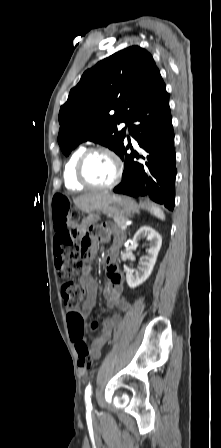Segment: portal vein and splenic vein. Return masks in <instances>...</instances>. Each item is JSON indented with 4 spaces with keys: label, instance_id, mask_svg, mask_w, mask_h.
Segmentation results:
<instances>
[{
    "label": "portal vein and splenic vein",
    "instance_id": "1",
    "mask_svg": "<svg viewBox=\"0 0 221 448\" xmlns=\"http://www.w3.org/2000/svg\"><path fill=\"white\" fill-rule=\"evenodd\" d=\"M128 225H129V223L125 222L124 225L122 226V229H126Z\"/></svg>",
    "mask_w": 221,
    "mask_h": 448
}]
</instances>
